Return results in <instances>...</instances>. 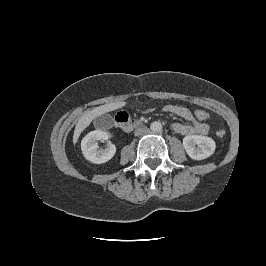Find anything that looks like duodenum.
<instances>
[{
  "instance_id": "duodenum-1",
  "label": "duodenum",
  "mask_w": 266,
  "mask_h": 266,
  "mask_svg": "<svg viewBox=\"0 0 266 266\" xmlns=\"http://www.w3.org/2000/svg\"><path fill=\"white\" fill-rule=\"evenodd\" d=\"M115 125L117 128L121 129L122 131L129 132L133 130L135 127L140 126V123L134 122L131 118L127 115H116L115 117Z\"/></svg>"
}]
</instances>
